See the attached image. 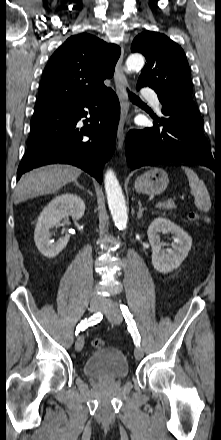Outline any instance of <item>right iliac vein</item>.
I'll return each instance as SVG.
<instances>
[{"label":"right iliac vein","instance_id":"right-iliac-vein-1","mask_svg":"<svg viewBox=\"0 0 221 440\" xmlns=\"http://www.w3.org/2000/svg\"><path fill=\"white\" fill-rule=\"evenodd\" d=\"M102 307V302L97 299L96 297H92L90 300V308L89 311L91 313H95L97 311H99ZM84 347V337L81 335L77 338L76 342H75V350L76 351H81Z\"/></svg>","mask_w":221,"mask_h":440}]
</instances>
